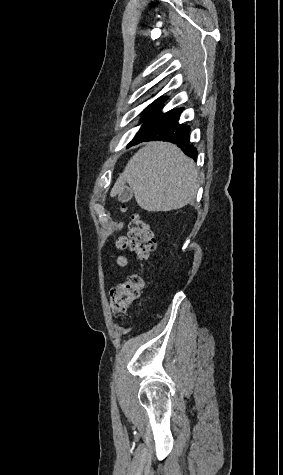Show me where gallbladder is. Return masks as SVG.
<instances>
[{
    "instance_id": "obj_1",
    "label": "gallbladder",
    "mask_w": 283,
    "mask_h": 475,
    "mask_svg": "<svg viewBox=\"0 0 283 475\" xmlns=\"http://www.w3.org/2000/svg\"><path fill=\"white\" fill-rule=\"evenodd\" d=\"M120 202H128V200H131L132 198V190H130V188H128V186H125L124 190H122V192H120L119 196H118Z\"/></svg>"
}]
</instances>
